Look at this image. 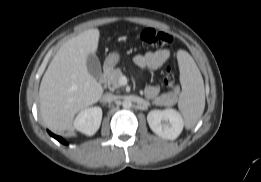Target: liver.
Wrapping results in <instances>:
<instances>
[{
  "label": "liver",
  "instance_id": "6515ba94",
  "mask_svg": "<svg viewBox=\"0 0 261 182\" xmlns=\"http://www.w3.org/2000/svg\"><path fill=\"white\" fill-rule=\"evenodd\" d=\"M100 32L89 29L66 41L40 84V113L53 132L73 131L75 115L99 101L103 88L89 74L87 57L98 49Z\"/></svg>",
  "mask_w": 261,
  "mask_h": 182
}]
</instances>
